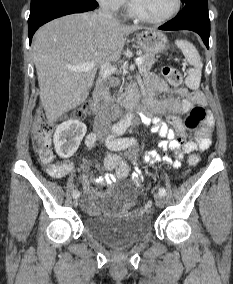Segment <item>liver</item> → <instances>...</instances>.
Wrapping results in <instances>:
<instances>
[{"instance_id": "1", "label": "liver", "mask_w": 233, "mask_h": 284, "mask_svg": "<svg viewBox=\"0 0 233 284\" xmlns=\"http://www.w3.org/2000/svg\"><path fill=\"white\" fill-rule=\"evenodd\" d=\"M139 29L110 22L96 13H81L55 19L36 32L33 59L49 122L87 99L97 67L118 60L125 37ZM91 61L95 67L88 72L69 69Z\"/></svg>"}]
</instances>
